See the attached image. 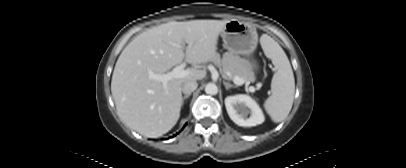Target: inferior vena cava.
Wrapping results in <instances>:
<instances>
[{"label": "inferior vena cava", "mask_w": 406, "mask_h": 168, "mask_svg": "<svg viewBox=\"0 0 406 168\" xmlns=\"http://www.w3.org/2000/svg\"><path fill=\"white\" fill-rule=\"evenodd\" d=\"M197 87H198V84H197L196 80H189V81H186L185 83H183L182 92L185 95L191 94L193 91L196 90Z\"/></svg>", "instance_id": "1"}]
</instances>
